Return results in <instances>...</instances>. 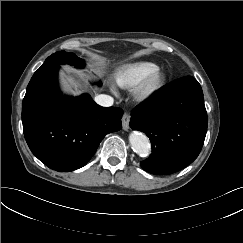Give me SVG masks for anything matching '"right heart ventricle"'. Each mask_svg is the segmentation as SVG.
Wrapping results in <instances>:
<instances>
[{"mask_svg": "<svg viewBox=\"0 0 243 243\" xmlns=\"http://www.w3.org/2000/svg\"><path fill=\"white\" fill-rule=\"evenodd\" d=\"M157 68L156 64L148 61L127 64L114 74V82L118 87L128 89L139 84Z\"/></svg>", "mask_w": 243, "mask_h": 243, "instance_id": "right-heart-ventricle-1", "label": "right heart ventricle"}]
</instances>
